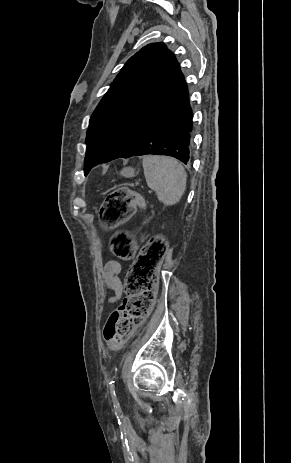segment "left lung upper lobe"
Masks as SVG:
<instances>
[{
	"mask_svg": "<svg viewBox=\"0 0 291 463\" xmlns=\"http://www.w3.org/2000/svg\"><path fill=\"white\" fill-rule=\"evenodd\" d=\"M186 88L175 55L163 43L149 44L133 55L90 118L84 173L97 161L134 148Z\"/></svg>",
	"mask_w": 291,
	"mask_h": 463,
	"instance_id": "1",
	"label": "left lung upper lobe"
}]
</instances>
